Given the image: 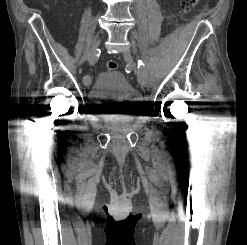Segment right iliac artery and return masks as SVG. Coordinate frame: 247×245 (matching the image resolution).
Segmentation results:
<instances>
[{
    "label": "right iliac artery",
    "instance_id": "82829eb1",
    "mask_svg": "<svg viewBox=\"0 0 247 245\" xmlns=\"http://www.w3.org/2000/svg\"><path fill=\"white\" fill-rule=\"evenodd\" d=\"M93 57H97V58H99V54H98V52H96V53L93 55Z\"/></svg>",
    "mask_w": 247,
    "mask_h": 245
}]
</instances>
